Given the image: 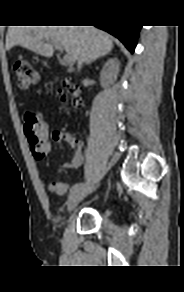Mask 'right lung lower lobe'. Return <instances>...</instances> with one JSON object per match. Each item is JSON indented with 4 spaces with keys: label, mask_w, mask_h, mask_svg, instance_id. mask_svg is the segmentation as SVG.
Returning a JSON list of instances; mask_svg holds the SVG:
<instances>
[{
    "label": "right lung lower lobe",
    "mask_w": 184,
    "mask_h": 292,
    "mask_svg": "<svg viewBox=\"0 0 184 292\" xmlns=\"http://www.w3.org/2000/svg\"><path fill=\"white\" fill-rule=\"evenodd\" d=\"M96 27L116 36L131 53L134 52L141 26H121L107 24L96 25Z\"/></svg>",
    "instance_id": "98d812e1"
}]
</instances>
